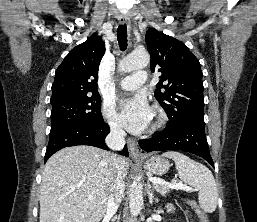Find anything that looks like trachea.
Here are the masks:
<instances>
[{"instance_id":"3493384b","label":"trachea","mask_w":257,"mask_h":222,"mask_svg":"<svg viewBox=\"0 0 257 222\" xmlns=\"http://www.w3.org/2000/svg\"><path fill=\"white\" fill-rule=\"evenodd\" d=\"M117 39L122 51L127 48V27L126 24L120 25L117 29Z\"/></svg>"}]
</instances>
